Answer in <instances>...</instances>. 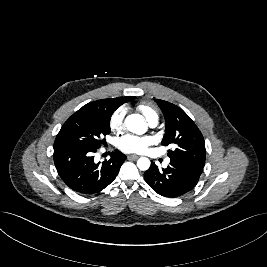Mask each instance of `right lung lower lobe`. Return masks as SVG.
<instances>
[{"label": "right lung lower lobe", "mask_w": 267, "mask_h": 267, "mask_svg": "<svg viewBox=\"0 0 267 267\" xmlns=\"http://www.w3.org/2000/svg\"><path fill=\"white\" fill-rule=\"evenodd\" d=\"M97 150V149H96ZM93 149H54V163L65 184L82 194H93L103 190L116 178L126 156L118 150L102 164L94 163Z\"/></svg>", "instance_id": "right-lung-lower-lobe-1"}]
</instances>
